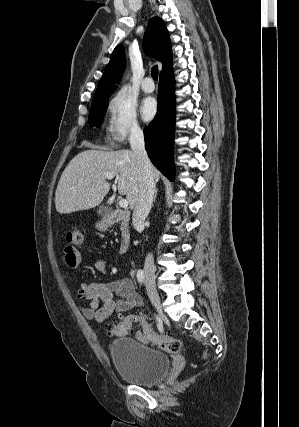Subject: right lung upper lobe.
Instances as JSON below:
<instances>
[{"instance_id": "obj_1", "label": "right lung upper lobe", "mask_w": 299, "mask_h": 427, "mask_svg": "<svg viewBox=\"0 0 299 427\" xmlns=\"http://www.w3.org/2000/svg\"><path fill=\"white\" fill-rule=\"evenodd\" d=\"M143 48L162 63L163 70L160 75L173 70L169 33L159 17H154L149 21L144 34ZM125 62L124 46L118 45L114 49L110 62L99 81L93 100L110 96L114 92L117 87L116 84L121 80Z\"/></svg>"}]
</instances>
